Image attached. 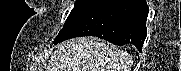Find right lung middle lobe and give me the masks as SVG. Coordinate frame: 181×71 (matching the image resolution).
Instances as JSON below:
<instances>
[{
	"label": "right lung middle lobe",
	"instance_id": "dd1d6c3e",
	"mask_svg": "<svg viewBox=\"0 0 181 71\" xmlns=\"http://www.w3.org/2000/svg\"><path fill=\"white\" fill-rule=\"evenodd\" d=\"M94 0H76L73 10L70 12L65 25L72 21L77 15H79L85 8L92 4Z\"/></svg>",
	"mask_w": 181,
	"mask_h": 71
}]
</instances>
